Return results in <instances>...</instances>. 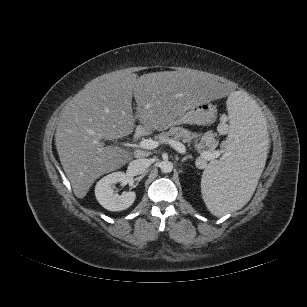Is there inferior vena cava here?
I'll use <instances>...</instances> for the list:
<instances>
[{"label": "inferior vena cava", "instance_id": "1", "mask_svg": "<svg viewBox=\"0 0 307 307\" xmlns=\"http://www.w3.org/2000/svg\"><path fill=\"white\" fill-rule=\"evenodd\" d=\"M150 164V160L144 158L133 160L128 165V173L130 175L142 174L150 166Z\"/></svg>", "mask_w": 307, "mask_h": 307}]
</instances>
